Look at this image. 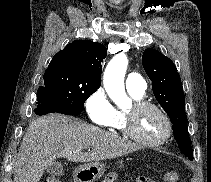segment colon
<instances>
[{
    "instance_id": "5ec220e1",
    "label": "colon",
    "mask_w": 211,
    "mask_h": 182,
    "mask_svg": "<svg viewBox=\"0 0 211 182\" xmlns=\"http://www.w3.org/2000/svg\"><path fill=\"white\" fill-rule=\"evenodd\" d=\"M116 175L114 173H109L103 182H114ZM164 179L166 182H176L178 180V174L174 171H167L164 174ZM46 182H62L58 177H49Z\"/></svg>"
}]
</instances>
